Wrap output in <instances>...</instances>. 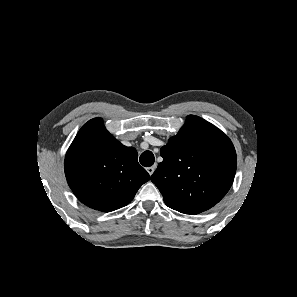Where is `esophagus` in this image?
I'll return each instance as SVG.
<instances>
[{
    "label": "esophagus",
    "mask_w": 297,
    "mask_h": 297,
    "mask_svg": "<svg viewBox=\"0 0 297 297\" xmlns=\"http://www.w3.org/2000/svg\"><path fill=\"white\" fill-rule=\"evenodd\" d=\"M146 170L149 173V175L151 176L155 171V166L148 167Z\"/></svg>",
    "instance_id": "obj_1"
}]
</instances>
